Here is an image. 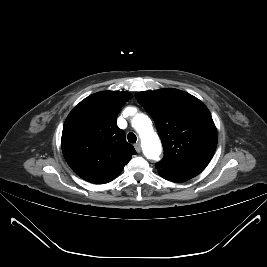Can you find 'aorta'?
<instances>
[{
    "mask_svg": "<svg viewBox=\"0 0 267 267\" xmlns=\"http://www.w3.org/2000/svg\"><path fill=\"white\" fill-rule=\"evenodd\" d=\"M130 108L128 111L133 112ZM132 127L139 134L142 150L147 159L159 160L161 154V142L158 135L154 132L152 121L144 113H135L131 119Z\"/></svg>",
    "mask_w": 267,
    "mask_h": 267,
    "instance_id": "762f6f07",
    "label": "aorta"
}]
</instances>
